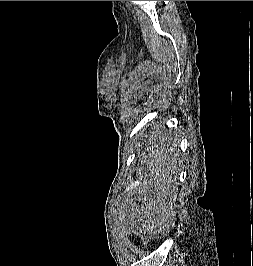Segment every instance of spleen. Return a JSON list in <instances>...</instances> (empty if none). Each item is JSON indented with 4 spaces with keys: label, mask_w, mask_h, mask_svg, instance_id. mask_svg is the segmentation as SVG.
Listing matches in <instances>:
<instances>
[{
    "label": "spleen",
    "mask_w": 253,
    "mask_h": 266,
    "mask_svg": "<svg viewBox=\"0 0 253 266\" xmlns=\"http://www.w3.org/2000/svg\"><path fill=\"white\" fill-rule=\"evenodd\" d=\"M153 150H176V141H153L151 144ZM164 160H154L151 165H145L143 170L139 171L140 179H153L154 184L164 185L167 179H175L178 162L175 154L166 153ZM162 198L169 199L172 196L171 191L164 190L161 193ZM146 203L154 204L157 201L156 196L148 195L145 198ZM171 207H120V216H132V223L135 224L136 235H142L144 242H153L155 235H173L174 228L171 222L166 220V216H171Z\"/></svg>",
    "instance_id": "1"
}]
</instances>
